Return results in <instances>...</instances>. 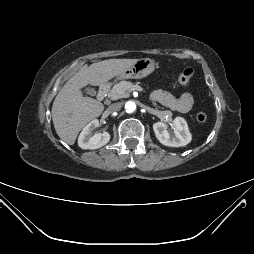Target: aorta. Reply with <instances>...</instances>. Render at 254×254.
<instances>
[{"instance_id":"aorta-1","label":"aorta","mask_w":254,"mask_h":254,"mask_svg":"<svg viewBox=\"0 0 254 254\" xmlns=\"http://www.w3.org/2000/svg\"><path fill=\"white\" fill-rule=\"evenodd\" d=\"M125 109H126V112L132 113L136 110V105L134 102L129 101L125 104Z\"/></svg>"}]
</instances>
